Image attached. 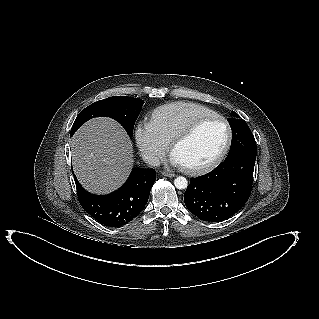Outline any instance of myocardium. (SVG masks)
Segmentation results:
<instances>
[{"label":"myocardium","instance_id":"f54148a6","mask_svg":"<svg viewBox=\"0 0 319 319\" xmlns=\"http://www.w3.org/2000/svg\"><path fill=\"white\" fill-rule=\"evenodd\" d=\"M211 119H218L223 122V124L226 127V138L224 141V144L218 154L208 163L201 165V166H182V169L192 175H199L204 174L206 172L211 171L216 166H218L224 157L226 156L230 145L232 141V128L228 122V120L217 113L207 114L203 116H199L192 121H190L182 130H180L170 141V150L173 153L174 148L181 143L182 141L186 140L188 137H190L193 132L196 130V128L202 124L205 121L211 120Z\"/></svg>","mask_w":319,"mask_h":319}]
</instances>
